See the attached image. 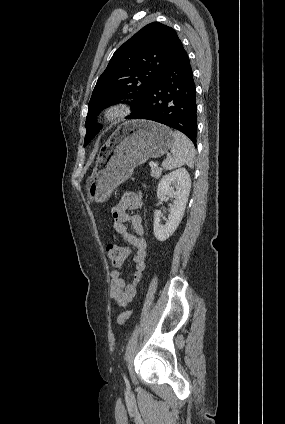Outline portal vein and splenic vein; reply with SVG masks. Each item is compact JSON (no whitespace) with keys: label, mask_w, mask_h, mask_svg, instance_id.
Returning <instances> with one entry per match:
<instances>
[{"label":"portal vein and splenic vein","mask_w":285,"mask_h":424,"mask_svg":"<svg viewBox=\"0 0 285 424\" xmlns=\"http://www.w3.org/2000/svg\"><path fill=\"white\" fill-rule=\"evenodd\" d=\"M154 166H156L155 163L151 162L150 167H154Z\"/></svg>","instance_id":"portal-vein-and-splenic-vein-1"}]
</instances>
